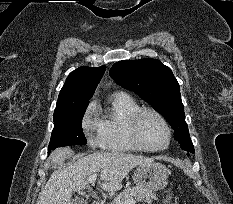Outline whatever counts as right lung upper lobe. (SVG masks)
<instances>
[{
	"label": "right lung upper lobe",
	"instance_id": "cb5924a9",
	"mask_svg": "<svg viewBox=\"0 0 233 204\" xmlns=\"http://www.w3.org/2000/svg\"><path fill=\"white\" fill-rule=\"evenodd\" d=\"M106 67H80L71 72L58 96L56 107L89 104Z\"/></svg>",
	"mask_w": 233,
	"mask_h": 204
}]
</instances>
